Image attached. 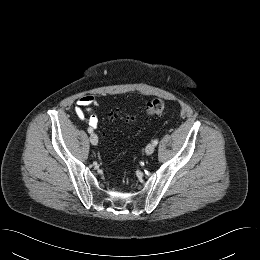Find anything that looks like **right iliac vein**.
<instances>
[{
	"instance_id": "63e3f726",
	"label": "right iliac vein",
	"mask_w": 260,
	"mask_h": 260,
	"mask_svg": "<svg viewBox=\"0 0 260 260\" xmlns=\"http://www.w3.org/2000/svg\"><path fill=\"white\" fill-rule=\"evenodd\" d=\"M90 142L93 144V145H97L98 144V137L96 134L92 133L90 135Z\"/></svg>"
}]
</instances>
